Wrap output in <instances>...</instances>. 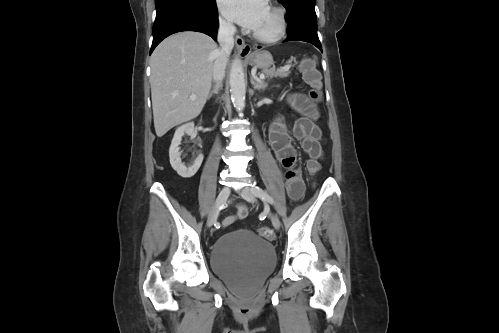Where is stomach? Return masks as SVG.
Segmentation results:
<instances>
[{
	"mask_svg": "<svg viewBox=\"0 0 499 333\" xmlns=\"http://www.w3.org/2000/svg\"><path fill=\"white\" fill-rule=\"evenodd\" d=\"M248 61L252 66L263 70H267L274 64L271 53L265 50L254 52L248 57Z\"/></svg>",
	"mask_w": 499,
	"mask_h": 333,
	"instance_id": "0dacf381",
	"label": "stomach"
}]
</instances>
